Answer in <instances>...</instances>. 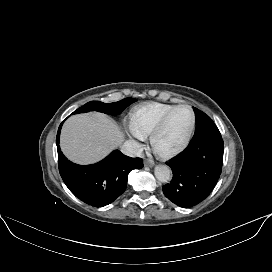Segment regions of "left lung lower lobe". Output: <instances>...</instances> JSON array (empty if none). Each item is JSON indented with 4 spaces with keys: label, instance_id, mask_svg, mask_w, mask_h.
I'll use <instances>...</instances> for the list:
<instances>
[{
    "label": "left lung lower lobe",
    "instance_id": "0a47b994",
    "mask_svg": "<svg viewBox=\"0 0 272 272\" xmlns=\"http://www.w3.org/2000/svg\"><path fill=\"white\" fill-rule=\"evenodd\" d=\"M224 144L218 128L193 137L184 152L167 163L173 172L164 195L189 208L203 201L216 185L222 170Z\"/></svg>",
    "mask_w": 272,
    "mask_h": 272
}]
</instances>
